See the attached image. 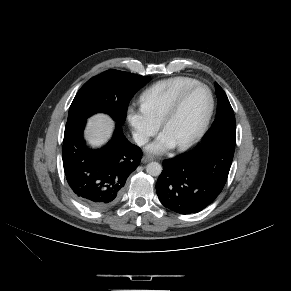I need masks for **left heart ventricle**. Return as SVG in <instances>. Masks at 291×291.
<instances>
[{"instance_id": "obj_1", "label": "left heart ventricle", "mask_w": 291, "mask_h": 291, "mask_svg": "<svg viewBox=\"0 0 291 291\" xmlns=\"http://www.w3.org/2000/svg\"><path fill=\"white\" fill-rule=\"evenodd\" d=\"M208 92L204 88L192 91L176 115L164 128L176 143L181 144L191 138L199 129L209 108Z\"/></svg>"}]
</instances>
